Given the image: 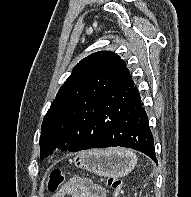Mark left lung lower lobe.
I'll list each match as a JSON object with an SVG mask.
<instances>
[{
	"mask_svg": "<svg viewBox=\"0 0 191 197\" xmlns=\"http://www.w3.org/2000/svg\"><path fill=\"white\" fill-rule=\"evenodd\" d=\"M133 80L102 92L64 130L71 152L123 146L145 153L157 163L148 117Z\"/></svg>",
	"mask_w": 191,
	"mask_h": 197,
	"instance_id": "obj_1",
	"label": "left lung lower lobe"
}]
</instances>
